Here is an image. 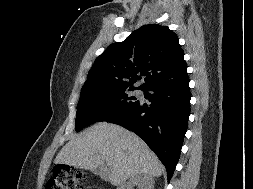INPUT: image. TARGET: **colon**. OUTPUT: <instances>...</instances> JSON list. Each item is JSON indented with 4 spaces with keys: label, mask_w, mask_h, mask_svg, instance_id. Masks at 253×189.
Returning <instances> with one entry per match:
<instances>
[{
    "label": "colon",
    "mask_w": 253,
    "mask_h": 189,
    "mask_svg": "<svg viewBox=\"0 0 253 189\" xmlns=\"http://www.w3.org/2000/svg\"><path fill=\"white\" fill-rule=\"evenodd\" d=\"M85 175L72 167L59 165L53 170L46 189H84Z\"/></svg>",
    "instance_id": "obj_1"
}]
</instances>
